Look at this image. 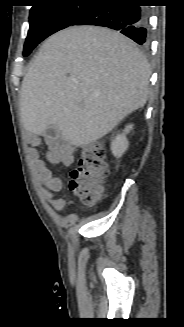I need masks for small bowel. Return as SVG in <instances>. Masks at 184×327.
Segmentation results:
<instances>
[{
  "label": "small bowel",
  "mask_w": 184,
  "mask_h": 327,
  "mask_svg": "<svg viewBox=\"0 0 184 327\" xmlns=\"http://www.w3.org/2000/svg\"><path fill=\"white\" fill-rule=\"evenodd\" d=\"M29 140L36 142L39 138L33 136ZM44 141L48 146L46 156L50 162L63 165H71L73 163L74 147L61 145L51 136L45 137ZM29 159L35 174L44 184V194L47 200L55 210H62L66 205V201L58 197V194L62 191V180L54 176L52 171L46 166L45 161L40 157L39 151L35 146L29 150Z\"/></svg>",
  "instance_id": "1"
}]
</instances>
